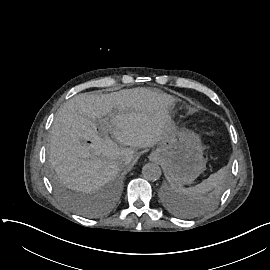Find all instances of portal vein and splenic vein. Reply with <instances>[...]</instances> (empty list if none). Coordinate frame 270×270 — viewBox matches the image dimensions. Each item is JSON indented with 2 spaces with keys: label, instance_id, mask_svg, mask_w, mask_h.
<instances>
[{
  "label": "portal vein and splenic vein",
  "instance_id": "18ae733b",
  "mask_svg": "<svg viewBox=\"0 0 270 270\" xmlns=\"http://www.w3.org/2000/svg\"><path fill=\"white\" fill-rule=\"evenodd\" d=\"M100 122H102L99 126V130L101 131V135H107L110 134L112 132L110 126H107V119L106 118H102L100 120ZM100 140H104V137H100Z\"/></svg>",
  "mask_w": 270,
  "mask_h": 270
}]
</instances>
